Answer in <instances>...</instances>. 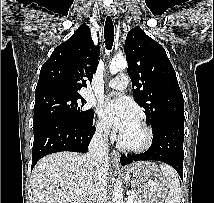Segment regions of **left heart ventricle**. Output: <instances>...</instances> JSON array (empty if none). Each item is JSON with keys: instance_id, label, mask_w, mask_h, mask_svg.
<instances>
[{"instance_id": "obj_1", "label": "left heart ventricle", "mask_w": 214, "mask_h": 203, "mask_svg": "<svg viewBox=\"0 0 214 203\" xmlns=\"http://www.w3.org/2000/svg\"><path fill=\"white\" fill-rule=\"evenodd\" d=\"M122 137L126 143L137 144L144 138V132L139 123H136L132 128L122 134Z\"/></svg>"}]
</instances>
